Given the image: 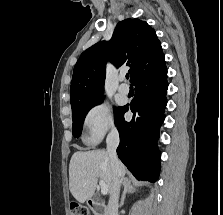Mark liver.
Returning a JSON list of instances; mask_svg holds the SVG:
<instances>
[{
  "label": "liver",
  "instance_id": "1",
  "mask_svg": "<svg viewBox=\"0 0 223 215\" xmlns=\"http://www.w3.org/2000/svg\"><path fill=\"white\" fill-rule=\"evenodd\" d=\"M121 167V181H128L124 177L127 169L123 163ZM101 177L108 185V191L113 193L114 177L111 159L108 151L104 149H91V151H75L69 163V189L77 201L84 203L91 199Z\"/></svg>",
  "mask_w": 223,
  "mask_h": 215
}]
</instances>
